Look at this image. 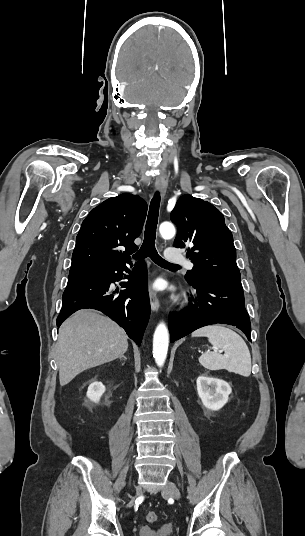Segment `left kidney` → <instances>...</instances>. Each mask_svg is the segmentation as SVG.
I'll use <instances>...</instances> for the list:
<instances>
[{
	"instance_id": "obj_1",
	"label": "left kidney",
	"mask_w": 305,
	"mask_h": 536,
	"mask_svg": "<svg viewBox=\"0 0 305 536\" xmlns=\"http://www.w3.org/2000/svg\"><path fill=\"white\" fill-rule=\"evenodd\" d=\"M197 392L205 408H208V410H220L227 404L232 390L224 380L202 374L197 378Z\"/></svg>"
}]
</instances>
